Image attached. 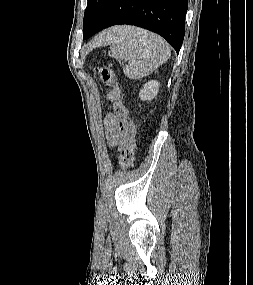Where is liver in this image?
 <instances>
[{
    "label": "liver",
    "instance_id": "obj_1",
    "mask_svg": "<svg viewBox=\"0 0 253 285\" xmlns=\"http://www.w3.org/2000/svg\"><path fill=\"white\" fill-rule=\"evenodd\" d=\"M123 28H124V27H115V28H113L112 30H109V31H107V32H104L102 35H100V36L96 39L95 43H96V44H98V43H103V42L107 39L108 36H112V35L116 34L119 30H121V29H123Z\"/></svg>",
    "mask_w": 253,
    "mask_h": 285
}]
</instances>
